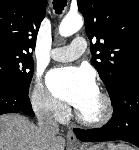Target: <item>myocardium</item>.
I'll return each mask as SVG.
<instances>
[{"label": "myocardium", "mask_w": 139, "mask_h": 150, "mask_svg": "<svg viewBox=\"0 0 139 150\" xmlns=\"http://www.w3.org/2000/svg\"><path fill=\"white\" fill-rule=\"evenodd\" d=\"M98 95L103 103V113L96 119H88L76 110V120L83 126L89 128L103 127L109 123L114 115V104L110 95L104 91H98Z\"/></svg>", "instance_id": "obj_1"}]
</instances>
